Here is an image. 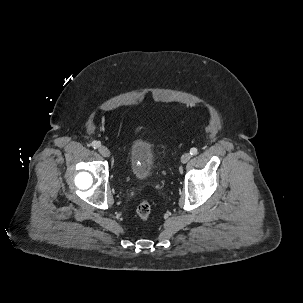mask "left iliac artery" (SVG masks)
<instances>
[{"label": "left iliac artery", "instance_id": "obj_1", "mask_svg": "<svg viewBox=\"0 0 303 303\" xmlns=\"http://www.w3.org/2000/svg\"><path fill=\"white\" fill-rule=\"evenodd\" d=\"M197 153H198V149L197 148L193 147V148L190 149V154L191 155H196Z\"/></svg>", "mask_w": 303, "mask_h": 303}]
</instances>
